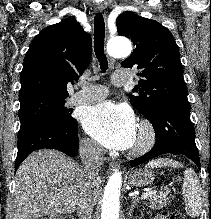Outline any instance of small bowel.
<instances>
[{
    "label": "small bowel",
    "instance_id": "small-bowel-1",
    "mask_svg": "<svg viewBox=\"0 0 211 219\" xmlns=\"http://www.w3.org/2000/svg\"><path fill=\"white\" fill-rule=\"evenodd\" d=\"M153 219H166V217L163 215H157Z\"/></svg>",
    "mask_w": 211,
    "mask_h": 219
}]
</instances>
